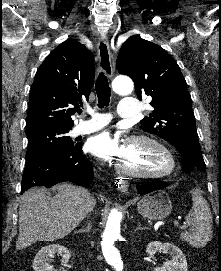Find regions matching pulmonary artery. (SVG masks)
Instances as JSON below:
<instances>
[{"mask_svg":"<svg viewBox=\"0 0 221 271\" xmlns=\"http://www.w3.org/2000/svg\"><path fill=\"white\" fill-rule=\"evenodd\" d=\"M143 103L139 102V98H122L121 107L118 108L120 117H138V112H143ZM93 117H89L87 126H98L94 128L79 127L80 134H89L100 130L103 126H107V122H113V117H101V112H93Z\"/></svg>","mask_w":221,"mask_h":271,"instance_id":"obj_1","label":"pulmonary artery"}]
</instances>
